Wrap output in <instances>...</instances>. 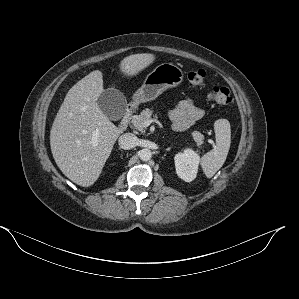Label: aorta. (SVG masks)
I'll return each instance as SVG.
<instances>
[{"label": "aorta", "mask_w": 299, "mask_h": 299, "mask_svg": "<svg viewBox=\"0 0 299 299\" xmlns=\"http://www.w3.org/2000/svg\"><path fill=\"white\" fill-rule=\"evenodd\" d=\"M139 157L142 161H149L152 158V151L144 148L139 151Z\"/></svg>", "instance_id": "aorta-1"}]
</instances>
